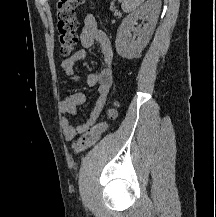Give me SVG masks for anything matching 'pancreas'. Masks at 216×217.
<instances>
[{
	"instance_id": "obj_1",
	"label": "pancreas",
	"mask_w": 216,
	"mask_h": 217,
	"mask_svg": "<svg viewBox=\"0 0 216 217\" xmlns=\"http://www.w3.org/2000/svg\"><path fill=\"white\" fill-rule=\"evenodd\" d=\"M111 10H114V11H115V12H114V16H118V17H121V16H122V14H121L119 11L115 10V8L111 7ZM113 22H114V21H113Z\"/></svg>"
}]
</instances>
